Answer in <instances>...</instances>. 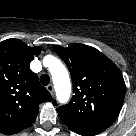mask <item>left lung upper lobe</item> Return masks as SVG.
Here are the masks:
<instances>
[{"label":"left lung upper lobe","mask_w":136,"mask_h":136,"mask_svg":"<svg viewBox=\"0 0 136 136\" xmlns=\"http://www.w3.org/2000/svg\"><path fill=\"white\" fill-rule=\"evenodd\" d=\"M54 51L67 64L73 82L74 96L68 104L57 108L61 120L67 126H110L125 97V82L118 67L87 45L54 46Z\"/></svg>","instance_id":"left-lung-upper-lobe-1"}]
</instances>
